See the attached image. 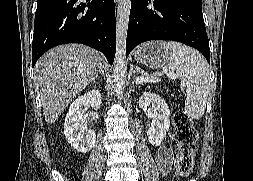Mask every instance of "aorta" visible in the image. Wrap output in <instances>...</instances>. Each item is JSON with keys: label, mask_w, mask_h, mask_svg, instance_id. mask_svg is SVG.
I'll return each instance as SVG.
<instances>
[{"label": "aorta", "mask_w": 253, "mask_h": 181, "mask_svg": "<svg viewBox=\"0 0 253 181\" xmlns=\"http://www.w3.org/2000/svg\"><path fill=\"white\" fill-rule=\"evenodd\" d=\"M131 10V0H117L116 52L113 62L115 93L120 98L127 70L126 39Z\"/></svg>", "instance_id": "762f6f07"}]
</instances>
